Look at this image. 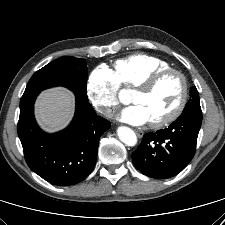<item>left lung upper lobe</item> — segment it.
<instances>
[{
  "label": "left lung upper lobe",
  "instance_id": "1",
  "mask_svg": "<svg viewBox=\"0 0 225 225\" xmlns=\"http://www.w3.org/2000/svg\"><path fill=\"white\" fill-rule=\"evenodd\" d=\"M191 110H201L199 102V94L195 86L191 87L190 89V99L187 105L185 106V109L182 114L187 113Z\"/></svg>",
  "mask_w": 225,
  "mask_h": 225
}]
</instances>
